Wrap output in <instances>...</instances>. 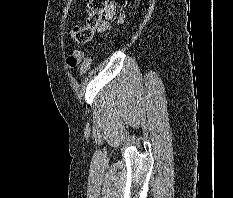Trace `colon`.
<instances>
[{
	"mask_svg": "<svg viewBox=\"0 0 233 198\" xmlns=\"http://www.w3.org/2000/svg\"><path fill=\"white\" fill-rule=\"evenodd\" d=\"M108 0H89L88 6L90 10V14L87 18L86 24L83 27H74L71 34L75 41L79 43L87 42L93 36V32L95 28L99 25L102 14L106 10ZM68 65L73 68L78 63L79 60L75 55H71L67 59ZM92 65V57H86L80 66V74H86Z\"/></svg>",
	"mask_w": 233,
	"mask_h": 198,
	"instance_id": "5ec220e1",
	"label": "colon"
}]
</instances>
